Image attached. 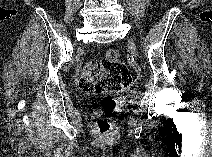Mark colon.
I'll list each match as a JSON object with an SVG mask.
<instances>
[{
  "label": "colon",
  "mask_w": 212,
  "mask_h": 157,
  "mask_svg": "<svg viewBox=\"0 0 212 157\" xmlns=\"http://www.w3.org/2000/svg\"><path fill=\"white\" fill-rule=\"evenodd\" d=\"M131 83L132 75L121 54L115 49L109 50L100 60L87 61L78 79L80 89L89 94L118 92L129 87ZM102 110L105 117L98 119L96 126L101 135H106L111 129L109 118L115 111L114 101L104 100Z\"/></svg>",
  "instance_id": "colon-1"
}]
</instances>
